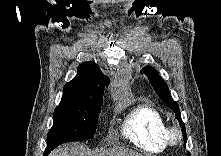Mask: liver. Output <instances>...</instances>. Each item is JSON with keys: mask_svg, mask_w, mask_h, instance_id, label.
<instances>
[{"mask_svg": "<svg viewBox=\"0 0 221 156\" xmlns=\"http://www.w3.org/2000/svg\"><path fill=\"white\" fill-rule=\"evenodd\" d=\"M51 156H142L130 149L115 147L106 151L88 152L80 143L63 145L51 153Z\"/></svg>", "mask_w": 221, "mask_h": 156, "instance_id": "obj_1", "label": "liver"}]
</instances>
